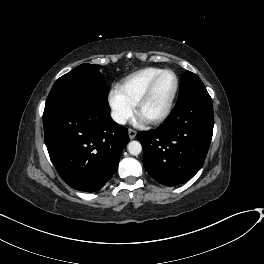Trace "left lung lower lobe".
Instances as JSON below:
<instances>
[{"label": "left lung lower lobe", "instance_id": "left-lung-lower-lobe-1", "mask_svg": "<svg viewBox=\"0 0 264 264\" xmlns=\"http://www.w3.org/2000/svg\"><path fill=\"white\" fill-rule=\"evenodd\" d=\"M213 126L212 99L207 91L179 99L161 126L137 133L148 173L166 186L191 179L205 161Z\"/></svg>", "mask_w": 264, "mask_h": 264}]
</instances>
